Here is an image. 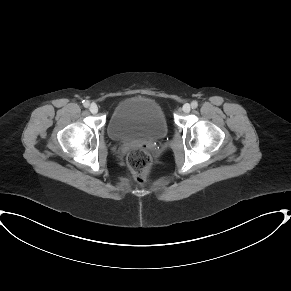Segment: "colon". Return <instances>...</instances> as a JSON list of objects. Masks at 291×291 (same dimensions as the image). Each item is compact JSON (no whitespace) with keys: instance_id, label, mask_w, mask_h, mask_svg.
I'll return each instance as SVG.
<instances>
[{"instance_id":"obj_1","label":"colon","mask_w":291,"mask_h":291,"mask_svg":"<svg viewBox=\"0 0 291 291\" xmlns=\"http://www.w3.org/2000/svg\"><path fill=\"white\" fill-rule=\"evenodd\" d=\"M127 163L134 178L138 182H145L149 178L151 156L146 148H135L127 156Z\"/></svg>"}]
</instances>
